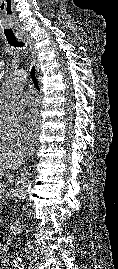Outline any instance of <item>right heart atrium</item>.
<instances>
[{"label":"right heart atrium","mask_w":118,"mask_h":269,"mask_svg":"<svg viewBox=\"0 0 118 269\" xmlns=\"http://www.w3.org/2000/svg\"><path fill=\"white\" fill-rule=\"evenodd\" d=\"M29 135L20 116L5 117L0 114V137L10 143L19 144L27 140Z\"/></svg>","instance_id":"1"}]
</instances>
